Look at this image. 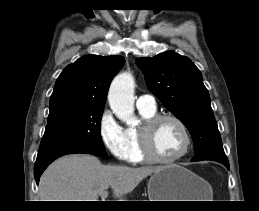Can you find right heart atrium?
Returning a JSON list of instances; mask_svg holds the SVG:
<instances>
[{"mask_svg": "<svg viewBox=\"0 0 259 211\" xmlns=\"http://www.w3.org/2000/svg\"><path fill=\"white\" fill-rule=\"evenodd\" d=\"M98 133L106 150L117 160L126 157L125 129L109 109L102 111L98 121Z\"/></svg>", "mask_w": 259, "mask_h": 211, "instance_id": "right-heart-atrium-1", "label": "right heart atrium"}]
</instances>
